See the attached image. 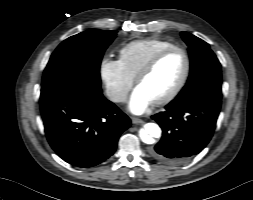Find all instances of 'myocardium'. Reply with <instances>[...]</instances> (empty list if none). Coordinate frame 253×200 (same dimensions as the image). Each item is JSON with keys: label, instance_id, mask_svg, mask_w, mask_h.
<instances>
[{"label": "myocardium", "instance_id": "obj_1", "mask_svg": "<svg viewBox=\"0 0 253 200\" xmlns=\"http://www.w3.org/2000/svg\"><path fill=\"white\" fill-rule=\"evenodd\" d=\"M174 52H179L184 56V59H185L184 73H183L182 78L180 79L179 83L168 95H166L164 98L153 103L155 106H164V105H167L168 103L172 102L181 93V91L185 87V85L189 79L190 72H191V60H190L189 54L187 53L186 50H184L183 48L177 47V46L165 49V50L159 52L157 55H155L146 65H144L140 69V71L135 76V84H136V86H138L139 83L146 76H148L150 73H152L155 70V68L159 65V63L165 57H167L168 55H170Z\"/></svg>", "mask_w": 253, "mask_h": 200}]
</instances>
